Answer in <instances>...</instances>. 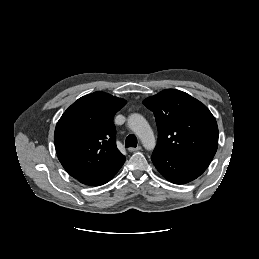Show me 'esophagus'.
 <instances>
[{
  "label": "esophagus",
  "mask_w": 259,
  "mask_h": 259,
  "mask_svg": "<svg viewBox=\"0 0 259 259\" xmlns=\"http://www.w3.org/2000/svg\"><path fill=\"white\" fill-rule=\"evenodd\" d=\"M142 149L141 146H137V147H131L129 148V152H136V151H140Z\"/></svg>",
  "instance_id": "esophagus-1"
}]
</instances>
